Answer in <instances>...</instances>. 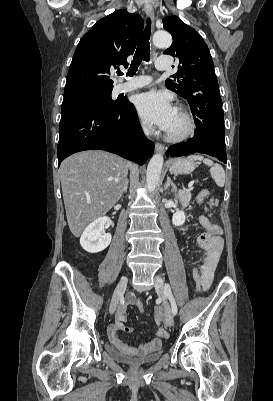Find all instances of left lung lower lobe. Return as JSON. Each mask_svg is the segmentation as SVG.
Returning a JSON list of instances; mask_svg holds the SVG:
<instances>
[{
    "label": "left lung lower lobe",
    "instance_id": "0a47b994",
    "mask_svg": "<svg viewBox=\"0 0 273 401\" xmlns=\"http://www.w3.org/2000/svg\"><path fill=\"white\" fill-rule=\"evenodd\" d=\"M185 99L188 100L197 126L195 135L185 143L170 146L166 155L178 157L199 152L226 163L224 112L220 95L199 93Z\"/></svg>",
    "mask_w": 273,
    "mask_h": 401
}]
</instances>
